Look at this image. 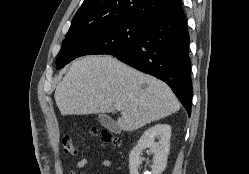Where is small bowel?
I'll list each match as a JSON object with an SVG mask.
<instances>
[{"mask_svg": "<svg viewBox=\"0 0 249 174\" xmlns=\"http://www.w3.org/2000/svg\"><path fill=\"white\" fill-rule=\"evenodd\" d=\"M89 163V159L84 157L81 158L70 170L69 174H78L80 170H82L87 164ZM101 166L104 168H111L112 163L110 160H102L101 161Z\"/></svg>", "mask_w": 249, "mask_h": 174, "instance_id": "small-bowel-1", "label": "small bowel"}]
</instances>
